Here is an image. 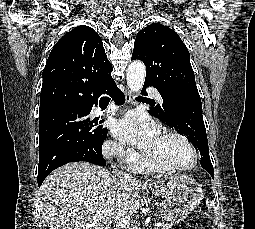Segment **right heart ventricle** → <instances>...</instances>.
Wrapping results in <instances>:
<instances>
[{"mask_svg": "<svg viewBox=\"0 0 255 229\" xmlns=\"http://www.w3.org/2000/svg\"><path fill=\"white\" fill-rule=\"evenodd\" d=\"M128 168L136 173H147L150 171H154L142 159H136L133 162L129 163Z\"/></svg>", "mask_w": 255, "mask_h": 229, "instance_id": "1", "label": "right heart ventricle"}]
</instances>
